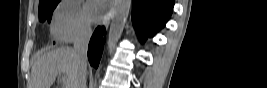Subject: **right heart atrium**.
<instances>
[{
    "label": "right heart atrium",
    "mask_w": 267,
    "mask_h": 88,
    "mask_svg": "<svg viewBox=\"0 0 267 88\" xmlns=\"http://www.w3.org/2000/svg\"><path fill=\"white\" fill-rule=\"evenodd\" d=\"M91 31L90 24L76 1H64L54 14L51 32L62 43L83 39Z\"/></svg>",
    "instance_id": "d8ad5b80"
}]
</instances>
